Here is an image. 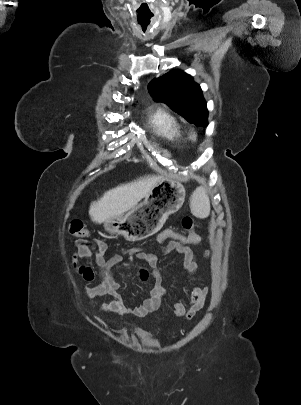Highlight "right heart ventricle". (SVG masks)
<instances>
[{"label":"right heart ventricle","mask_w":301,"mask_h":405,"mask_svg":"<svg viewBox=\"0 0 301 405\" xmlns=\"http://www.w3.org/2000/svg\"><path fill=\"white\" fill-rule=\"evenodd\" d=\"M148 124L157 135L170 141L183 139L184 132L178 119L165 109H157L148 116Z\"/></svg>","instance_id":"1"}]
</instances>
